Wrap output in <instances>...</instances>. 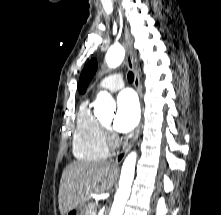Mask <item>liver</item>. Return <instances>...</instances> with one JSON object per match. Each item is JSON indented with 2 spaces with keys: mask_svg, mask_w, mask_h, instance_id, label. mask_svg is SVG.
Returning <instances> with one entry per match:
<instances>
[{
  "mask_svg": "<svg viewBox=\"0 0 221 215\" xmlns=\"http://www.w3.org/2000/svg\"><path fill=\"white\" fill-rule=\"evenodd\" d=\"M116 168L107 161L74 162L68 165L60 180L59 210L61 215L82 208L93 194L109 190Z\"/></svg>",
  "mask_w": 221,
  "mask_h": 215,
  "instance_id": "6515ba94",
  "label": "liver"
}]
</instances>
